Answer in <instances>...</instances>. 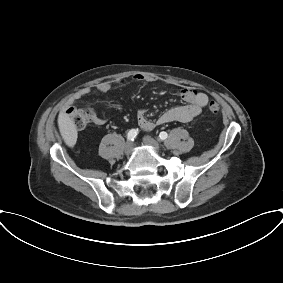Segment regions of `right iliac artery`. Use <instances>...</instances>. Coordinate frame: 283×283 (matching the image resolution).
<instances>
[{
  "instance_id": "obj_1",
  "label": "right iliac artery",
  "mask_w": 283,
  "mask_h": 283,
  "mask_svg": "<svg viewBox=\"0 0 283 283\" xmlns=\"http://www.w3.org/2000/svg\"><path fill=\"white\" fill-rule=\"evenodd\" d=\"M137 135H138V129H131L127 134V139L129 141H134Z\"/></svg>"
}]
</instances>
